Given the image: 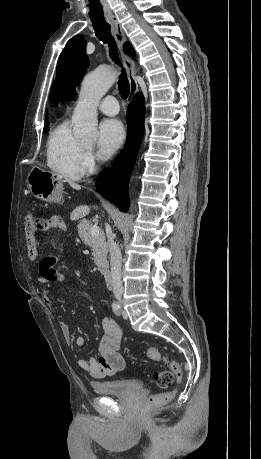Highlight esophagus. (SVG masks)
<instances>
[{"label":"esophagus","mask_w":261,"mask_h":459,"mask_svg":"<svg viewBox=\"0 0 261 459\" xmlns=\"http://www.w3.org/2000/svg\"><path fill=\"white\" fill-rule=\"evenodd\" d=\"M108 22L111 25L113 35L117 42V46L120 51V54H121V57H122V60H123V63L126 69L127 78H128L129 85H130L129 100H131L133 96L138 92V85L135 80V64H134L133 59L130 56H128L123 49V46L126 42V37H125L124 31L120 23L115 17L109 18Z\"/></svg>","instance_id":"obj_1"}]
</instances>
